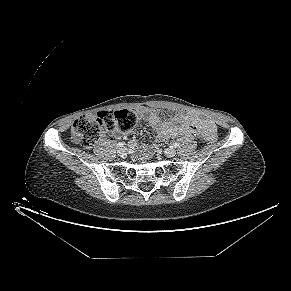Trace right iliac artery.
<instances>
[{
	"mask_svg": "<svg viewBox=\"0 0 291 291\" xmlns=\"http://www.w3.org/2000/svg\"><path fill=\"white\" fill-rule=\"evenodd\" d=\"M124 145H125L124 142H119V143L117 144V147H118V148H121V147H123Z\"/></svg>",
	"mask_w": 291,
	"mask_h": 291,
	"instance_id": "obj_1",
	"label": "right iliac artery"
}]
</instances>
